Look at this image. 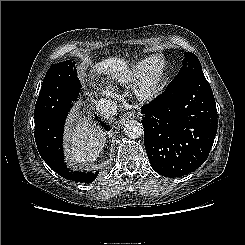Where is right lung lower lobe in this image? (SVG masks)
Listing matches in <instances>:
<instances>
[{"label":"right lung lower lobe","instance_id":"98d812e1","mask_svg":"<svg viewBox=\"0 0 245 245\" xmlns=\"http://www.w3.org/2000/svg\"><path fill=\"white\" fill-rule=\"evenodd\" d=\"M66 116L57 119L35 118V141L38 151L52 170L62 177L76 182H92L96 176L93 173L69 172L63 158L62 137ZM105 129L109 127L101 123Z\"/></svg>","mask_w":245,"mask_h":245}]
</instances>
